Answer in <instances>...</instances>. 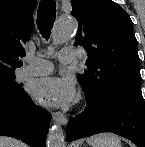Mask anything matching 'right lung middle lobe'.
<instances>
[{"instance_id":"dd1d6c3e","label":"right lung middle lobe","mask_w":145,"mask_h":147,"mask_svg":"<svg viewBox=\"0 0 145 147\" xmlns=\"http://www.w3.org/2000/svg\"><path fill=\"white\" fill-rule=\"evenodd\" d=\"M26 92L15 81V74L0 75V103L18 102Z\"/></svg>"}]
</instances>
